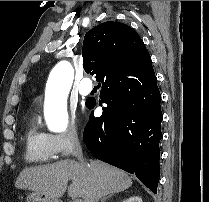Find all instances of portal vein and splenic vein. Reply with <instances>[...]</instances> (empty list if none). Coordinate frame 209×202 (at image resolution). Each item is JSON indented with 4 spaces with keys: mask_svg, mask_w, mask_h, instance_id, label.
Wrapping results in <instances>:
<instances>
[{
    "mask_svg": "<svg viewBox=\"0 0 209 202\" xmlns=\"http://www.w3.org/2000/svg\"><path fill=\"white\" fill-rule=\"evenodd\" d=\"M75 202H83L82 199H77Z\"/></svg>",
    "mask_w": 209,
    "mask_h": 202,
    "instance_id": "obj_1",
    "label": "portal vein and splenic vein"
}]
</instances>
